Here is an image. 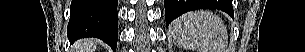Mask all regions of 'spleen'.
<instances>
[{
	"instance_id": "3e777b00",
	"label": "spleen",
	"mask_w": 305,
	"mask_h": 52,
	"mask_svg": "<svg viewBox=\"0 0 305 52\" xmlns=\"http://www.w3.org/2000/svg\"><path fill=\"white\" fill-rule=\"evenodd\" d=\"M169 33L178 46L196 52H225L228 44L222 19L208 10L183 14L171 23Z\"/></svg>"
}]
</instances>
